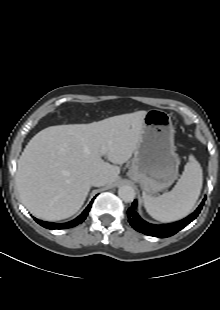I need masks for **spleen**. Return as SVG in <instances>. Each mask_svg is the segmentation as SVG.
I'll list each match as a JSON object with an SVG mask.
<instances>
[{
	"instance_id": "spleen-1",
	"label": "spleen",
	"mask_w": 220,
	"mask_h": 310,
	"mask_svg": "<svg viewBox=\"0 0 220 310\" xmlns=\"http://www.w3.org/2000/svg\"><path fill=\"white\" fill-rule=\"evenodd\" d=\"M203 183L200 164L193 156L174 188L158 197L143 193L144 206L148 214L161 222H172L187 216L199 198Z\"/></svg>"
}]
</instances>
